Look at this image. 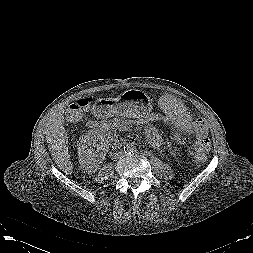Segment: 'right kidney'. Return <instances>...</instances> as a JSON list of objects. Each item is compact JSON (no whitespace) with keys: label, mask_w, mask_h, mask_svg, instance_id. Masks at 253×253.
Listing matches in <instances>:
<instances>
[{"label":"right kidney","mask_w":253,"mask_h":253,"mask_svg":"<svg viewBox=\"0 0 253 253\" xmlns=\"http://www.w3.org/2000/svg\"><path fill=\"white\" fill-rule=\"evenodd\" d=\"M77 146L81 169L88 174L97 171L108 151V140L105 133L99 129L89 130L79 139Z\"/></svg>","instance_id":"1"}]
</instances>
